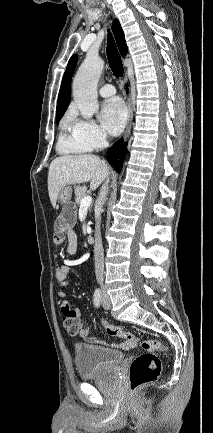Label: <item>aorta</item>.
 <instances>
[{
    "label": "aorta",
    "instance_id": "762f6f07",
    "mask_svg": "<svg viewBox=\"0 0 213 433\" xmlns=\"http://www.w3.org/2000/svg\"><path fill=\"white\" fill-rule=\"evenodd\" d=\"M104 68V61L96 54L88 53L73 81V98L85 119H91L98 111L97 83Z\"/></svg>",
    "mask_w": 213,
    "mask_h": 433
}]
</instances>
